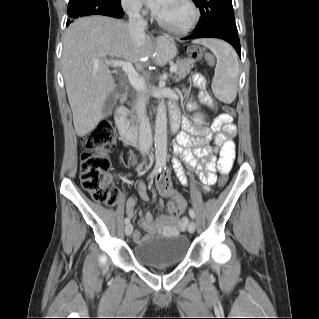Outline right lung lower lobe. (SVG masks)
<instances>
[{
	"instance_id": "98d812e1",
	"label": "right lung lower lobe",
	"mask_w": 319,
	"mask_h": 319,
	"mask_svg": "<svg viewBox=\"0 0 319 319\" xmlns=\"http://www.w3.org/2000/svg\"><path fill=\"white\" fill-rule=\"evenodd\" d=\"M124 12L120 6L119 9L113 11V12H108V13H104L101 15H105V16H111V17H115V18H121L123 16Z\"/></svg>"
}]
</instances>
